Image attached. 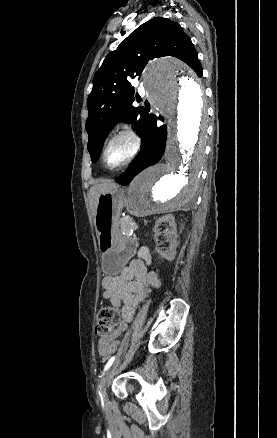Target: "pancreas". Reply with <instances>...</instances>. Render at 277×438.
<instances>
[{"label":"pancreas","mask_w":277,"mask_h":438,"mask_svg":"<svg viewBox=\"0 0 277 438\" xmlns=\"http://www.w3.org/2000/svg\"><path fill=\"white\" fill-rule=\"evenodd\" d=\"M136 216H131V218L126 219L125 224H123L122 226V231L123 233H135L136 231L142 232L144 231V226L139 225L136 226L135 222L136 221Z\"/></svg>","instance_id":"cf45deb5"}]
</instances>
